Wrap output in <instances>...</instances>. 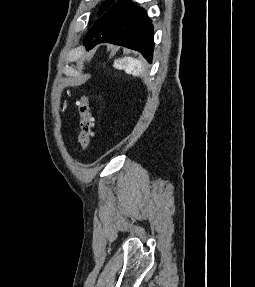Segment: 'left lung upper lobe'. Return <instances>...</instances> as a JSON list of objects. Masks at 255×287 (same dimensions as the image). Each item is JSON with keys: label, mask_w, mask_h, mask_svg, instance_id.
<instances>
[{"label": "left lung upper lobe", "mask_w": 255, "mask_h": 287, "mask_svg": "<svg viewBox=\"0 0 255 287\" xmlns=\"http://www.w3.org/2000/svg\"><path fill=\"white\" fill-rule=\"evenodd\" d=\"M114 2V0H107L104 5L101 8V12H104L105 10H107V8Z\"/></svg>", "instance_id": "1"}]
</instances>
